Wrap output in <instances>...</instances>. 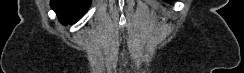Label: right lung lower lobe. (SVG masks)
<instances>
[{
  "label": "right lung lower lobe",
  "instance_id": "98d812e1",
  "mask_svg": "<svg viewBox=\"0 0 244 73\" xmlns=\"http://www.w3.org/2000/svg\"><path fill=\"white\" fill-rule=\"evenodd\" d=\"M91 0H51V6L64 25L72 24L89 8Z\"/></svg>",
  "mask_w": 244,
  "mask_h": 73
}]
</instances>
